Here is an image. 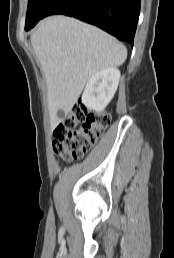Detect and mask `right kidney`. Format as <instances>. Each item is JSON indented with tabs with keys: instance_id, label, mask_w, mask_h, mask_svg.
<instances>
[{
	"instance_id": "ca27d5eb",
	"label": "right kidney",
	"mask_w": 174,
	"mask_h": 258,
	"mask_svg": "<svg viewBox=\"0 0 174 258\" xmlns=\"http://www.w3.org/2000/svg\"><path fill=\"white\" fill-rule=\"evenodd\" d=\"M120 79L116 67L100 70L90 77L82 94V103L95 111L103 110L112 100Z\"/></svg>"
}]
</instances>
